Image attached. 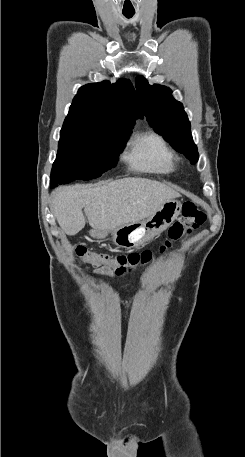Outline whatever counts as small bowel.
Segmentation results:
<instances>
[{"instance_id":"1","label":"small bowel","mask_w":245,"mask_h":457,"mask_svg":"<svg viewBox=\"0 0 245 457\" xmlns=\"http://www.w3.org/2000/svg\"><path fill=\"white\" fill-rule=\"evenodd\" d=\"M97 275H106V276H114V272L112 269L108 267L100 268L95 271Z\"/></svg>"}]
</instances>
